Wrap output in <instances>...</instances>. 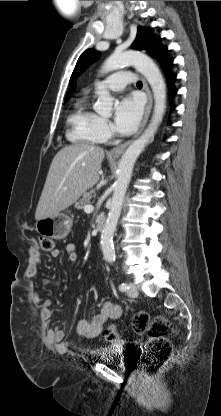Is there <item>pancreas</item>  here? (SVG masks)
Masks as SVG:
<instances>
[{
  "instance_id": "pancreas-1",
  "label": "pancreas",
  "mask_w": 221,
  "mask_h": 416,
  "mask_svg": "<svg viewBox=\"0 0 221 416\" xmlns=\"http://www.w3.org/2000/svg\"><path fill=\"white\" fill-rule=\"evenodd\" d=\"M96 196V192L94 189L90 190L83 194V197L75 204L77 209H84V207L90 204V201L93 197Z\"/></svg>"
}]
</instances>
